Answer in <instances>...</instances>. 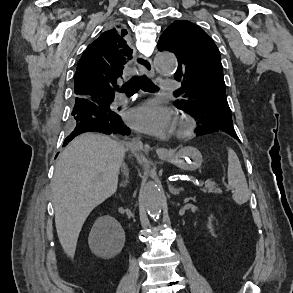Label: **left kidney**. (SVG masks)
<instances>
[{
  "mask_svg": "<svg viewBox=\"0 0 293 293\" xmlns=\"http://www.w3.org/2000/svg\"><path fill=\"white\" fill-rule=\"evenodd\" d=\"M213 219H214V216H213V215H210V216L208 217L207 228L209 229V232H210V233H213V232H214L213 224H212Z\"/></svg>",
  "mask_w": 293,
  "mask_h": 293,
  "instance_id": "left-kidney-1",
  "label": "left kidney"
}]
</instances>
